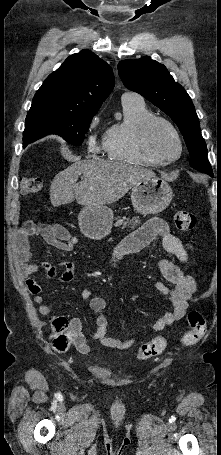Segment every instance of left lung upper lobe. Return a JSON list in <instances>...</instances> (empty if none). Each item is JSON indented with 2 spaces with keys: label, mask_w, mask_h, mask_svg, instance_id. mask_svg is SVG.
Wrapping results in <instances>:
<instances>
[{
  "label": "left lung upper lobe",
  "mask_w": 221,
  "mask_h": 455,
  "mask_svg": "<svg viewBox=\"0 0 221 455\" xmlns=\"http://www.w3.org/2000/svg\"><path fill=\"white\" fill-rule=\"evenodd\" d=\"M118 70L128 89L141 94L177 124L190 153L191 167L210 174L212 168L207 160V147L194 105L167 68L145 56L137 60L120 61Z\"/></svg>",
  "instance_id": "obj_1"
}]
</instances>
